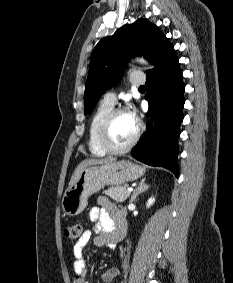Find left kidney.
<instances>
[{
	"mask_svg": "<svg viewBox=\"0 0 233 283\" xmlns=\"http://www.w3.org/2000/svg\"><path fill=\"white\" fill-rule=\"evenodd\" d=\"M154 202H155V199L154 198H150L148 200V202L146 203V207L149 208L151 205H153Z\"/></svg>",
	"mask_w": 233,
	"mask_h": 283,
	"instance_id": "5707ae66",
	"label": "left kidney"
}]
</instances>
